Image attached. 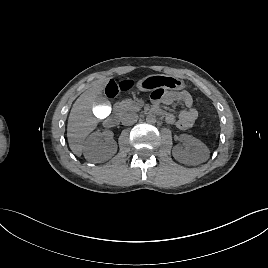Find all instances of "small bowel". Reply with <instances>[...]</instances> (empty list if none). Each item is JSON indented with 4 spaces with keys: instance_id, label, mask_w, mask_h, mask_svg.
Returning a JSON list of instances; mask_svg holds the SVG:
<instances>
[{
    "instance_id": "obj_1",
    "label": "small bowel",
    "mask_w": 268,
    "mask_h": 268,
    "mask_svg": "<svg viewBox=\"0 0 268 268\" xmlns=\"http://www.w3.org/2000/svg\"><path fill=\"white\" fill-rule=\"evenodd\" d=\"M151 96L154 112L163 115L169 124H173L181 130H187L193 126L198 117V111L193 107V98L188 91L164 93L162 89H156ZM175 101H180L185 106V109L177 117L161 108V104L171 105Z\"/></svg>"
}]
</instances>
